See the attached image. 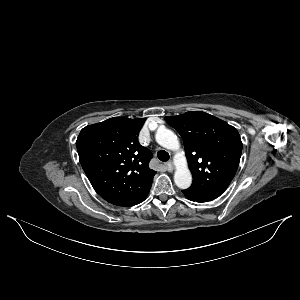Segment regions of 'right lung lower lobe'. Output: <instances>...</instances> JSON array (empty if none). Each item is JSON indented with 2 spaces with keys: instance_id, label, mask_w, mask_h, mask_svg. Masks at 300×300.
Instances as JSON below:
<instances>
[{
  "instance_id": "right-lung-lower-lobe-1",
  "label": "right lung lower lobe",
  "mask_w": 300,
  "mask_h": 300,
  "mask_svg": "<svg viewBox=\"0 0 300 300\" xmlns=\"http://www.w3.org/2000/svg\"><path fill=\"white\" fill-rule=\"evenodd\" d=\"M149 190H146L145 192L139 193V194H129V195H125L119 198H116L114 200L109 201V203L116 205V206H121V207H129V206H134L137 205L141 202H143L148 193Z\"/></svg>"
}]
</instances>
